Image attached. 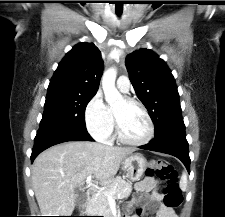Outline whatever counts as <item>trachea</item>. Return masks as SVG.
<instances>
[{
  "label": "trachea",
  "mask_w": 225,
  "mask_h": 217,
  "mask_svg": "<svg viewBox=\"0 0 225 217\" xmlns=\"http://www.w3.org/2000/svg\"><path fill=\"white\" fill-rule=\"evenodd\" d=\"M117 15H118V16H120V15H121V13H117Z\"/></svg>",
  "instance_id": "1"
}]
</instances>
